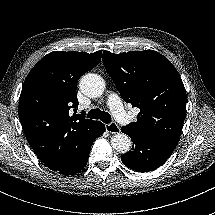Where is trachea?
Listing matches in <instances>:
<instances>
[{"label": "trachea", "instance_id": "1", "mask_svg": "<svg viewBox=\"0 0 215 215\" xmlns=\"http://www.w3.org/2000/svg\"><path fill=\"white\" fill-rule=\"evenodd\" d=\"M87 117L90 119H100L104 123H110L111 122V116L106 111H101L100 109H92L87 114Z\"/></svg>", "mask_w": 215, "mask_h": 215}]
</instances>
